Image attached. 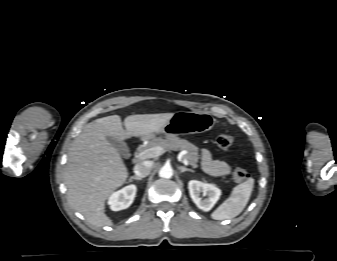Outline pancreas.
Returning a JSON list of instances; mask_svg holds the SVG:
<instances>
[{"mask_svg":"<svg viewBox=\"0 0 337 261\" xmlns=\"http://www.w3.org/2000/svg\"><path fill=\"white\" fill-rule=\"evenodd\" d=\"M162 147L165 151H181L186 150L187 154L184 156L188 160V163L196 168L199 156L198 147L188 142L185 139H180L177 136H167L165 138H155L148 143V145L140 150L149 149L153 147Z\"/></svg>","mask_w":337,"mask_h":261,"instance_id":"cf45deb5","label":"pancreas"}]
</instances>
